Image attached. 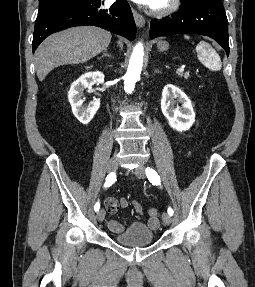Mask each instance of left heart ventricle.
<instances>
[{
  "instance_id": "1",
  "label": "left heart ventricle",
  "mask_w": 255,
  "mask_h": 287,
  "mask_svg": "<svg viewBox=\"0 0 255 287\" xmlns=\"http://www.w3.org/2000/svg\"><path fill=\"white\" fill-rule=\"evenodd\" d=\"M149 33H162V32H149ZM144 39H160V38H144ZM136 48H166V47H136Z\"/></svg>"
}]
</instances>
